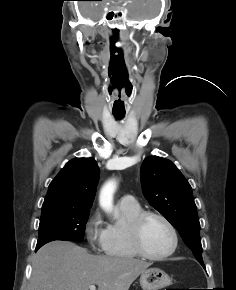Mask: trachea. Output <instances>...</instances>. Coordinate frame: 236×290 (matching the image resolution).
<instances>
[{"instance_id": "trachea-1", "label": "trachea", "mask_w": 236, "mask_h": 290, "mask_svg": "<svg viewBox=\"0 0 236 290\" xmlns=\"http://www.w3.org/2000/svg\"><path fill=\"white\" fill-rule=\"evenodd\" d=\"M113 115L117 118V119H122L125 116V113H113Z\"/></svg>"}]
</instances>
